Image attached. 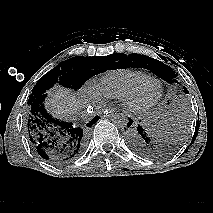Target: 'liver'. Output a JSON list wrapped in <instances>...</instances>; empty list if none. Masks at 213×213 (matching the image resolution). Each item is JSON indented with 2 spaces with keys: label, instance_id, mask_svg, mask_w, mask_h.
Returning a JSON list of instances; mask_svg holds the SVG:
<instances>
[{
  "label": "liver",
  "instance_id": "1",
  "mask_svg": "<svg viewBox=\"0 0 213 213\" xmlns=\"http://www.w3.org/2000/svg\"><path fill=\"white\" fill-rule=\"evenodd\" d=\"M47 107L57 117L70 118L81 108V101L68 89L56 87L49 95Z\"/></svg>",
  "mask_w": 213,
  "mask_h": 213
}]
</instances>
